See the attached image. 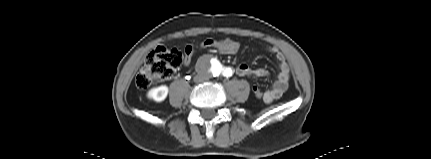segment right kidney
<instances>
[{
    "instance_id": "ca27d5eb",
    "label": "right kidney",
    "mask_w": 431,
    "mask_h": 159,
    "mask_svg": "<svg viewBox=\"0 0 431 159\" xmlns=\"http://www.w3.org/2000/svg\"><path fill=\"white\" fill-rule=\"evenodd\" d=\"M168 87L166 85H161L159 87L152 88L148 91L147 97L156 102H162L168 95Z\"/></svg>"
}]
</instances>
